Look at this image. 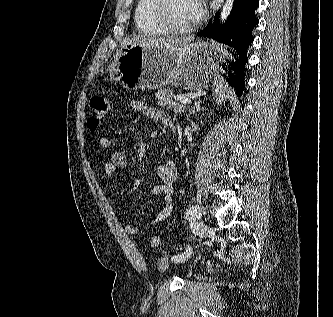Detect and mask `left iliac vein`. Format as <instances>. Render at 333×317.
Here are the masks:
<instances>
[{
	"label": "left iliac vein",
	"instance_id": "left-iliac-vein-1",
	"mask_svg": "<svg viewBox=\"0 0 333 317\" xmlns=\"http://www.w3.org/2000/svg\"><path fill=\"white\" fill-rule=\"evenodd\" d=\"M210 232V227L206 223H204L203 221H199L197 223V234L199 238H205L209 235Z\"/></svg>",
	"mask_w": 333,
	"mask_h": 317
}]
</instances>
